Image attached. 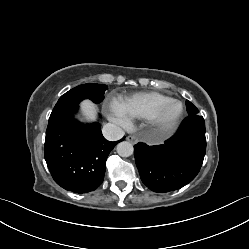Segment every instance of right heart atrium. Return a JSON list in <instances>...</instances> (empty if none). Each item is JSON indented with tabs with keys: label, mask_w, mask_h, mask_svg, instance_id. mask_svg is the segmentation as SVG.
Segmentation results:
<instances>
[{
	"label": "right heart atrium",
	"mask_w": 249,
	"mask_h": 249,
	"mask_svg": "<svg viewBox=\"0 0 249 249\" xmlns=\"http://www.w3.org/2000/svg\"><path fill=\"white\" fill-rule=\"evenodd\" d=\"M108 117L113 122L123 127H129L132 119L125 112H123L117 104L110 106L108 111Z\"/></svg>",
	"instance_id": "right-heart-atrium-1"
}]
</instances>
